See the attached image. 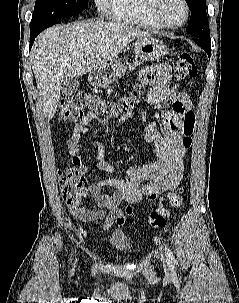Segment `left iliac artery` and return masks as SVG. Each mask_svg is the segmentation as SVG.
Returning <instances> with one entry per match:
<instances>
[{
  "mask_svg": "<svg viewBox=\"0 0 239 303\" xmlns=\"http://www.w3.org/2000/svg\"><path fill=\"white\" fill-rule=\"evenodd\" d=\"M165 255L167 257V260H168V264L171 268H175V257L173 255V252L171 251V249L165 245Z\"/></svg>",
  "mask_w": 239,
  "mask_h": 303,
  "instance_id": "obj_1",
  "label": "left iliac artery"
}]
</instances>
